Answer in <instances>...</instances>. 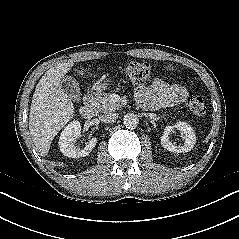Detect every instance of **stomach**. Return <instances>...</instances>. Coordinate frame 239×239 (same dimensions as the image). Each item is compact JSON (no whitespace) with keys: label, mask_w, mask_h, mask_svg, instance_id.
<instances>
[{"label":"stomach","mask_w":239,"mask_h":239,"mask_svg":"<svg viewBox=\"0 0 239 239\" xmlns=\"http://www.w3.org/2000/svg\"><path fill=\"white\" fill-rule=\"evenodd\" d=\"M96 87L98 90H102L103 88H105V84H98Z\"/></svg>","instance_id":"1"}]
</instances>
